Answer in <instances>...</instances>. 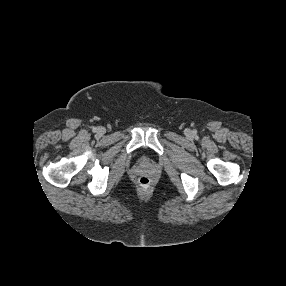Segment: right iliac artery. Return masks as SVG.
<instances>
[{
    "label": "right iliac artery",
    "mask_w": 286,
    "mask_h": 286,
    "mask_svg": "<svg viewBox=\"0 0 286 286\" xmlns=\"http://www.w3.org/2000/svg\"><path fill=\"white\" fill-rule=\"evenodd\" d=\"M92 131H93V132H96V131H97V128H96V127H93V128H92Z\"/></svg>",
    "instance_id": "1"
}]
</instances>
